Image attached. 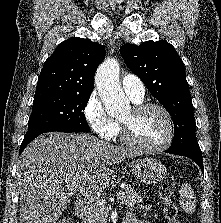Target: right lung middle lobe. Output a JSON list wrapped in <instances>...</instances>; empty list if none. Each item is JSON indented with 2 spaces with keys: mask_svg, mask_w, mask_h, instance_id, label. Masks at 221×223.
Wrapping results in <instances>:
<instances>
[{
  "mask_svg": "<svg viewBox=\"0 0 221 223\" xmlns=\"http://www.w3.org/2000/svg\"><path fill=\"white\" fill-rule=\"evenodd\" d=\"M91 93L34 99L26 136L47 130L89 132L83 110Z\"/></svg>",
  "mask_w": 221,
  "mask_h": 223,
  "instance_id": "obj_1",
  "label": "right lung middle lobe"
}]
</instances>
